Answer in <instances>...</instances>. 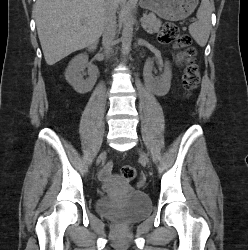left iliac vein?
<instances>
[{"label":"left iliac vein","mask_w":248,"mask_h":250,"mask_svg":"<svg viewBox=\"0 0 248 250\" xmlns=\"http://www.w3.org/2000/svg\"><path fill=\"white\" fill-rule=\"evenodd\" d=\"M139 155H140L141 160L143 161V163L144 164H148V157H147V155L143 151H141V150H139Z\"/></svg>","instance_id":"left-iliac-vein-1"}]
</instances>
